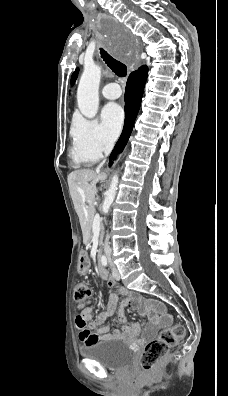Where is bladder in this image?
<instances>
[{"instance_id":"bladder-1","label":"bladder","mask_w":228,"mask_h":396,"mask_svg":"<svg viewBox=\"0 0 228 396\" xmlns=\"http://www.w3.org/2000/svg\"><path fill=\"white\" fill-rule=\"evenodd\" d=\"M80 355L111 370H122L131 365L134 357L129 343L122 339L101 340L79 349Z\"/></svg>"}]
</instances>
